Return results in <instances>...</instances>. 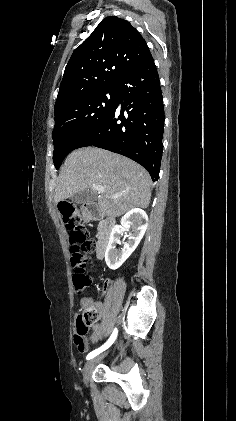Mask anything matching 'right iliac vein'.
I'll use <instances>...</instances> for the list:
<instances>
[{
  "label": "right iliac vein",
  "instance_id": "63e3f726",
  "mask_svg": "<svg viewBox=\"0 0 236 421\" xmlns=\"http://www.w3.org/2000/svg\"><path fill=\"white\" fill-rule=\"evenodd\" d=\"M103 358H104V354H102L100 356H97V357L89 360L85 364L84 371H83V380H84V383H86V384L88 383L89 376H90V373H91L93 367L95 366L96 363H98L99 361H101Z\"/></svg>",
  "mask_w": 236,
  "mask_h": 421
}]
</instances>
